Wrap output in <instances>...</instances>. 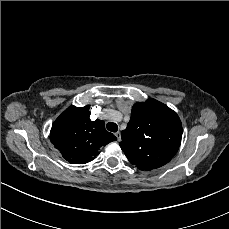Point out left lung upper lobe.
<instances>
[{
    "mask_svg": "<svg viewBox=\"0 0 229 229\" xmlns=\"http://www.w3.org/2000/svg\"><path fill=\"white\" fill-rule=\"evenodd\" d=\"M121 149L140 170L150 171L168 163L181 144L179 116L165 104L148 99L137 102L127 128L121 132Z\"/></svg>",
    "mask_w": 229,
    "mask_h": 229,
    "instance_id": "left-lung-upper-lobe-1",
    "label": "left lung upper lobe"
}]
</instances>
